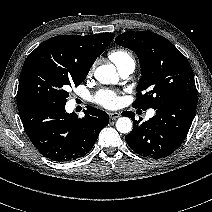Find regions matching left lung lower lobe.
I'll use <instances>...</instances> for the list:
<instances>
[{
    "label": "left lung lower lobe",
    "mask_w": 212,
    "mask_h": 212,
    "mask_svg": "<svg viewBox=\"0 0 212 212\" xmlns=\"http://www.w3.org/2000/svg\"><path fill=\"white\" fill-rule=\"evenodd\" d=\"M197 96L170 100L156 108V115L139 123L134 116L133 130L125 140L137 154L154 159L172 154L184 141L192 124Z\"/></svg>",
    "instance_id": "left-lung-lower-lobe-1"
}]
</instances>
